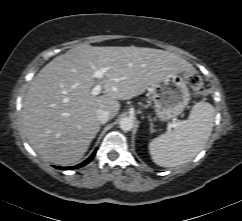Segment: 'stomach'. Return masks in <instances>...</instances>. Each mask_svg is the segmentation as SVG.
<instances>
[{"label":"stomach","instance_id":"1","mask_svg":"<svg viewBox=\"0 0 242 221\" xmlns=\"http://www.w3.org/2000/svg\"><path fill=\"white\" fill-rule=\"evenodd\" d=\"M186 74H171L155 81L150 92L160 121H168L181 114L190 101Z\"/></svg>","mask_w":242,"mask_h":221}]
</instances>
